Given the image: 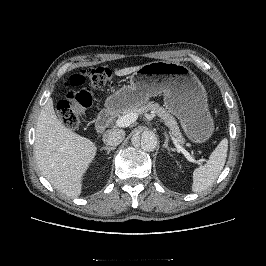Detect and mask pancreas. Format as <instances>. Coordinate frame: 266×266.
<instances>
[{"instance_id":"obj_1","label":"pancreas","mask_w":266,"mask_h":266,"mask_svg":"<svg viewBox=\"0 0 266 266\" xmlns=\"http://www.w3.org/2000/svg\"><path fill=\"white\" fill-rule=\"evenodd\" d=\"M148 111H152L154 114H156L158 117H160L170 128L171 134L174 136V138L178 141L179 144H184L185 139L179 129V126L177 124V121L175 118L168 113L166 109L161 107L158 103L155 102H149L144 106L138 107V108H128L124 110V114H130V113H145Z\"/></svg>"}]
</instances>
